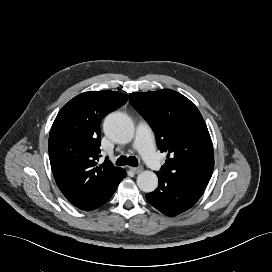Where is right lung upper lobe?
Returning a JSON list of instances; mask_svg holds the SVG:
<instances>
[{
	"mask_svg": "<svg viewBox=\"0 0 272 272\" xmlns=\"http://www.w3.org/2000/svg\"><path fill=\"white\" fill-rule=\"evenodd\" d=\"M128 95L114 91H89L70 100L55 118L49 135V158L55 181L76 207L97 201L123 173L100 157V123L122 106Z\"/></svg>",
	"mask_w": 272,
	"mask_h": 272,
	"instance_id": "cb5924a9",
	"label": "right lung upper lobe"
}]
</instances>
